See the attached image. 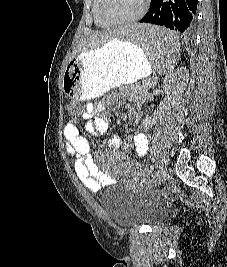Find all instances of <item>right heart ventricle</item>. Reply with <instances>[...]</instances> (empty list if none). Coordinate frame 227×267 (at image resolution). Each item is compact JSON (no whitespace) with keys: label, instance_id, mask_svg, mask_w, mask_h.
I'll return each instance as SVG.
<instances>
[{"label":"right heart ventricle","instance_id":"1","mask_svg":"<svg viewBox=\"0 0 227 267\" xmlns=\"http://www.w3.org/2000/svg\"><path fill=\"white\" fill-rule=\"evenodd\" d=\"M92 13H93V17L97 25L103 26V27L111 25L106 20H104L103 17L101 16L100 0H93Z\"/></svg>","mask_w":227,"mask_h":267}]
</instances>
